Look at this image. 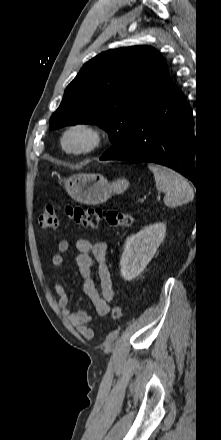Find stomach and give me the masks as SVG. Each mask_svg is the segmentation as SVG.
I'll return each mask as SVG.
<instances>
[{
  "mask_svg": "<svg viewBox=\"0 0 221 440\" xmlns=\"http://www.w3.org/2000/svg\"><path fill=\"white\" fill-rule=\"evenodd\" d=\"M67 193L76 201L95 205L107 201L112 194H121L129 187V181L119 178L109 182L99 173H79L63 180Z\"/></svg>",
  "mask_w": 221,
  "mask_h": 440,
  "instance_id": "stomach-1",
  "label": "stomach"
}]
</instances>
